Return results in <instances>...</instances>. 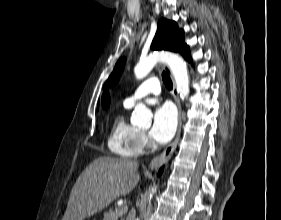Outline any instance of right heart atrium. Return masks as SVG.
Here are the masks:
<instances>
[{
    "instance_id": "d8ad5b80",
    "label": "right heart atrium",
    "mask_w": 281,
    "mask_h": 220,
    "mask_svg": "<svg viewBox=\"0 0 281 220\" xmlns=\"http://www.w3.org/2000/svg\"><path fill=\"white\" fill-rule=\"evenodd\" d=\"M140 140L143 147H147L149 145V140L144 133H141Z\"/></svg>"
}]
</instances>
